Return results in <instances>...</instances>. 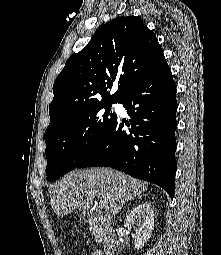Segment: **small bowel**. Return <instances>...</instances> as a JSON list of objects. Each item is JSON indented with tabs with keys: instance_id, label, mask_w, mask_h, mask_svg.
Instances as JSON below:
<instances>
[{
	"instance_id": "1",
	"label": "small bowel",
	"mask_w": 221,
	"mask_h": 255,
	"mask_svg": "<svg viewBox=\"0 0 221 255\" xmlns=\"http://www.w3.org/2000/svg\"><path fill=\"white\" fill-rule=\"evenodd\" d=\"M90 255H103V253L100 250H95Z\"/></svg>"
}]
</instances>
